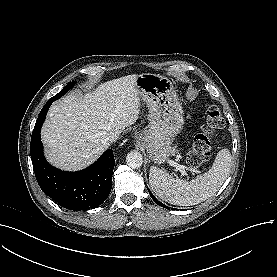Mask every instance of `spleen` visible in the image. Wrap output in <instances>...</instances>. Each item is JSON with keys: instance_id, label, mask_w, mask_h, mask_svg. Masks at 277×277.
<instances>
[{"instance_id": "1", "label": "spleen", "mask_w": 277, "mask_h": 277, "mask_svg": "<svg viewBox=\"0 0 277 277\" xmlns=\"http://www.w3.org/2000/svg\"><path fill=\"white\" fill-rule=\"evenodd\" d=\"M231 153L221 149L208 172L198 175L191 181L174 177L160 168L152 166L149 183L154 193L170 204L190 206L199 204L214 196L231 170Z\"/></svg>"}]
</instances>
